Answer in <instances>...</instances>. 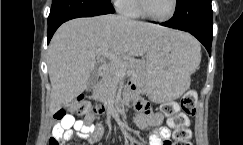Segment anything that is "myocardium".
Instances as JSON below:
<instances>
[{
    "mask_svg": "<svg viewBox=\"0 0 243 145\" xmlns=\"http://www.w3.org/2000/svg\"><path fill=\"white\" fill-rule=\"evenodd\" d=\"M136 5L138 8V11L140 12V14L142 16H144L150 20H153V21L165 22V21L172 19L174 17V15L176 14L177 9H178V0H173V5H172V9H171L170 13L164 17H156V16H153L152 14H150L145 7L144 0H136Z\"/></svg>",
    "mask_w": 243,
    "mask_h": 145,
    "instance_id": "1",
    "label": "myocardium"
}]
</instances>
